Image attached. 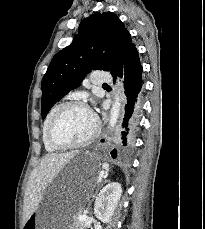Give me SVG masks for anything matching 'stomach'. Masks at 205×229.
Returning a JSON list of instances; mask_svg holds the SVG:
<instances>
[{
	"instance_id": "0dacf381",
	"label": "stomach",
	"mask_w": 205,
	"mask_h": 229,
	"mask_svg": "<svg viewBox=\"0 0 205 229\" xmlns=\"http://www.w3.org/2000/svg\"><path fill=\"white\" fill-rule=\"evenodd\" d=\"M100 170L94 154L72 158L23 229H73V221L90 195Z\"/></svg>"
}]
</instances>
